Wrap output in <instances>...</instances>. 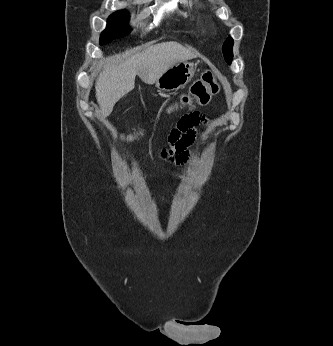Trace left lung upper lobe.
<instances>
[{
    "instance_id": "1",
    "label": "left lung upper lobe",
    "mask_w": 333,
    "mask_h": 346,
    "mask_svg": "<svg viewBox=\"0 0 333 346\" xmlns=\"http://www.w3.org/2000/svg\"><path fill=\"white\" fill-rule=\"evenodd\" d=\"M233 39L229 37L223 44L222 52L224 54V58L228 64H231L233 58Z\"/></svg>"
}]
</instances>
